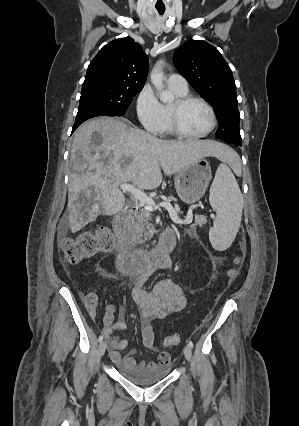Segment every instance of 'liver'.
<instances>
[{
    "instance_id": "liver-1",
    "label": "liver",
    "mask_w": 299,
    "mask_h": 426,
    "mask_svg": "<svg viewBox=\"0 0 299 426\" xmlns=\"http://www.w3.org/2000/svg\"><path fill=\"white\" fill-rule=\"evenodd\" d=\"M95 131L101 136L99 143L92 139ZM206 156L229 160L232 150L217 141L158 139L110 117L84 123L71 147L67 205L71 231H79L100 214L122 211L125 196L120 184L153 190L162 182L161 170L171 176Z\"/></svg>"
}]
</instances>
